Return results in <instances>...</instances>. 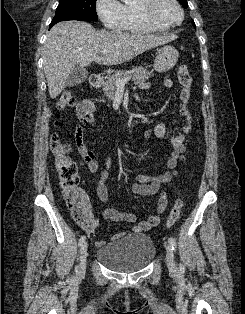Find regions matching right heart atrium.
Wrapping results in <instances>:
<instances>
[{
	"mask_svg": "<svg viewBox=\"0 0 245 314\" xmlns=\"http://www.w3.org/2000/svg\"><path fill=\"white\" fill-rule=\"evenodd\" d=\"M95 8L102 24L112 30L121 26V3L118 0H96Z\"/></svg>",
	"mask_w": 245,
	"mask_h": 314,
	"instance_id": "d8ad5b80",
	"label": "right heart atrium"
}]
</instances>
